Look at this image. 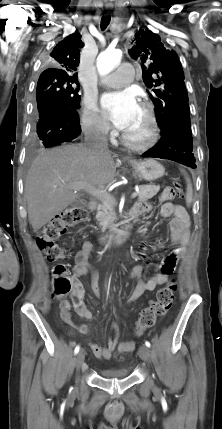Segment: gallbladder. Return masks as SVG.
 Returning a JSON list of instances; mask_svg holds the SVG:
<instances>
[{"instance_id": "gallbladder-1", "label": "gallbladder", "mask_w": 222, "mask_h": 429, "mask_svg": "<svg viewBox=\"0 0 222 429\" xmlns=\"http://www.w3.org/2000/svg\"><path fill=\"white\" fill-rule=\"evenodd\" d=\"M81 204L79 202H74L73 206H80Z\"/></svg>"}]
</instances>
